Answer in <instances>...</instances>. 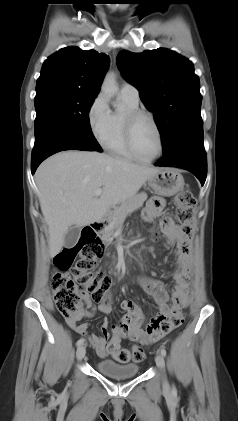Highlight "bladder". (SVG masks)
I'll return each mask as SVG.
<instances>
[{"instance_id":"31cf9c89","label":"bladder","mask_w":238,"mask_h":421,"mask_svg":"<svg viewBox=\"0 0 238 421\" xmlns=\"http://www.w3.org/2000/svg\"><path fill=\"white\" fill-rule=\"evenodd\" d=\"M96 367L100 373L115 379L132 378L139 372V366L134 363L122 364L111 359L99 360Z\"/></svg>"}]
</instances>
